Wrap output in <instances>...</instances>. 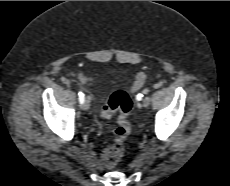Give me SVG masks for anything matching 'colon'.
Wrapping results in <instances>:
<instances>
[{
	"mask_svg": "<svg viewBox=\"0 0 230 186\" xmlns=\"http://www.w3.org/2000/svg\"><path fill=\"white\" fill-rule=\"evenodd\" d=\"M146 82V74L137 72L132 88L139 89ZM132 109V101L124 90L112 93L109 100L102 106L100 114L102 118H110L115 111H119L118 126L114 130V141L106 147L102 153V161L107 167L116 166L124 154L125 140L131 131L129 113Z\"/></svg>",
	"mask_w": 230,
	"mask_h": 186,
	"instance_id": "1",
	"label": "colon"
}]
</instances>
